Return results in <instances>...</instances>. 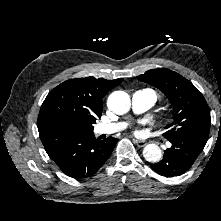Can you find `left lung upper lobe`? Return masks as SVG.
I'll return each mask as SVG.
<instances>
[{"instance_id": "left-lung-upper-lobe-1", "label": "left lung upper lobe", "mask_w": 221, "mask_h": 221, "mask_svg": "<svg viewBox=\"0 0 221 221\" xmlns=\"http://www.w3.org/2000/svg\"><path fill=\"white\" fill-rule=\"evenodd\" d=\"M137 79L161 90L171 103L174 121L166 126L168 130L163 134L167 140L193 132L209 133V107L190 81L166 68L148 70Z\"/></svg>"}]
</instances>
